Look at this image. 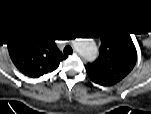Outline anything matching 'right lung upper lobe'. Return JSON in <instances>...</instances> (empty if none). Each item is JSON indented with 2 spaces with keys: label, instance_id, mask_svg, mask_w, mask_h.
I'll return each mask as SVG.
<instances>
[{
  "label": "right lung upper lobe",
  "instance_id": "cb5924a9",
  "mask_svg": "<svg viewBox=\"0 0 151 114\" xmlns=\"http://www.w3.org/2000/svg\"><path fill=\"white\" fill-rule=\"evenodd\" d=\"M9 52L17 68L33 78L52 72L66 58L43 31L16 36Z\"/></svg>",
  "mask_w": 151,
  "mask_h": 114
}]
</instances>
